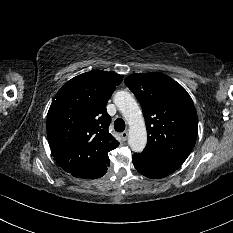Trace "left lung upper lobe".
<instances>
[{
  "label": "left lung upper lobe",
  "instance_id": "5c2ea615",
  "mask_svg": "<svg viewBox=\"0 0 233 233\" xmlns=\"http://www.w3.org/2000/svg\"><path fill=\"white\" fill-rule=\"evenodd\" d=\"M125 84L141 104L148 141L143 152L181 164L192 151L198 120L186 90L161 73L132 74Z\"/></svg>",
  "mask_w": 233,
  "mask_h": 233
}]
</instances>
